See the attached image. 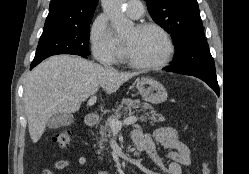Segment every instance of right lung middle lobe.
<instances>
[{
  "label": "right lung middle lobe",
  "instance_id": "right-lung-middle-lobe-1",
  "mask_svg": "<svg viewBox=\"0 0 249 174\" xmlns=\"http://www.w3.org/2000/svg\"><path fill=\"white\" fill-rule=\"evenodd\" d=\"M91 20L77 25L43 30L33 62L58 54L90 55L88 43Z\"/></svg>",
  "mask_w": 249,
  "mask_h": 174
}]
</instances>
